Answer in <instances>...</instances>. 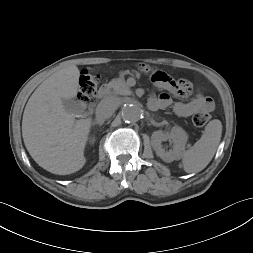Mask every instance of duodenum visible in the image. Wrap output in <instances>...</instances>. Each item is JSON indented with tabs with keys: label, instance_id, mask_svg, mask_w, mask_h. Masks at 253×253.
Wrapping results in <instances>:
<instances>
[{
	"label": "duodenum",
	"instance_id": "410a0bca",
	"mask_svg": "<svg viewBox=\"0 0 253 253\" xmlns=\"http://www.w3.org/2000/svg\"><path fill=\"white\" fill-rule=\"evenodd\" d=\"M107 94V89L104 87V88H101L100 91H99V97L100 98H104Z\"/></svg>",
	"mask_w": 253,
	"mask_h": 253
}]
</instances>
